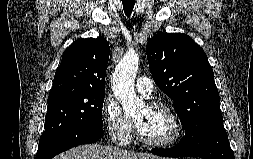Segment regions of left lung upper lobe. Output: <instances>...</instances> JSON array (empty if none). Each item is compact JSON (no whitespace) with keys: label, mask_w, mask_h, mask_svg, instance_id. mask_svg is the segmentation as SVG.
Segmentation results:
<instances>
[{"label":"left lung upper lobe","mask_w":253,"mask_h":159,"mask_svg":"<svg viewBox=\"0 0 253 159\" xmlns=\"http://www.w3.org/2000/svg\"><path fill=\"white\" fill-rule=\"evenodd\" d=\"M146 53L152 77L173 100L185 136L222 121L212 67L192 38L159 32L148 41Z\"/></svg>","instance_id":"left-lung-upper-lobe-1"}]
</instances>
